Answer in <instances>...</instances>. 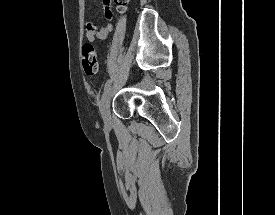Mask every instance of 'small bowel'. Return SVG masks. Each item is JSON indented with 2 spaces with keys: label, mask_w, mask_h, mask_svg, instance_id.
Masks as SVG:
<instances>
[{
  "label": "small bowel",
  "mask_w": 275,
  "mask_h": 215,
  "mask_svg": "<svg viewBox=\"0 0 275 215\" xmlns=\"http://www.w3.org/2000/svg\"><path fill=\"white\" fill-rule=\"evenodd\" d=\"M104 16L107 20L112 19V11L110 9V0H101ZM112 25L108 23L102 28H98L95 24L88 22L86 24V39L88 42H94L96 40H104L108 37Z\"/></svg>",
  "instance_id": "1"
}]
</instances>
